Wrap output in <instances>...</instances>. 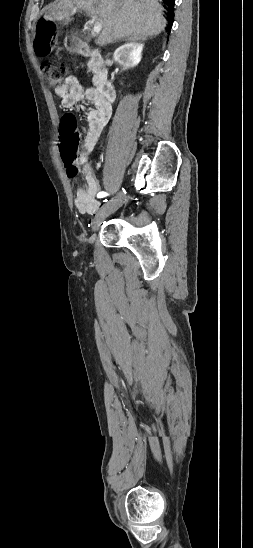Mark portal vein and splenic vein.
Returning a JSON list of instances; mask_svg holds the SVG:
<instances>
[{
  "instance_id": "portal-vein-and-splenic-vein-1",
  "label": "portal vein and splenic vein",
  "mask_w": 253,
  "mask_h": 548,
  "mask_svg": "<svg viewBox=\"0 0 253 548\" xmlns=\"http://www.w3.org/2000/svg\"><path fill=\"white\" fill-rule=\"evenodd\" d=\"M76 11H77L76 9H73V10H72V14L76 13ZM101 28H102V24H101L100 19L95 20V21L93 22V25H92V31H91L92 35H93V36L98 35V34L100 33V31H101Z\"/></svg>"
}]
</instances>
